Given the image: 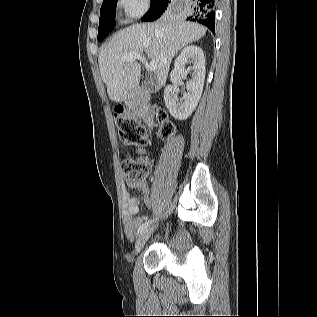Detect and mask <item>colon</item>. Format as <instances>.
I'll return each mask as SVG.
<instances>
[{
    "label": "colon",
    "instance_id": "5ec220e1",
    "mask_svg": "<svg viewBox=\"0 0 317 317\" xmlns=\"http://www.w3.org/2000/svg\"><path fill=\"white\" fill-rule=\"evenodd\" d=\"M151 116L158 123V134L162 138H169L174 134V126L169 121L167 113L159 108L150 107ZM119 134L127 145H143L147 140L145 128L138 119L126 115L122 107L117 109L115 115ZM121 167L129 183H136L144 179L150 172V163L143 158L125 155L121 161Z\"/></svg>",
    "mask_w": 317,
    "mask_h": 317
}]
</instances>
